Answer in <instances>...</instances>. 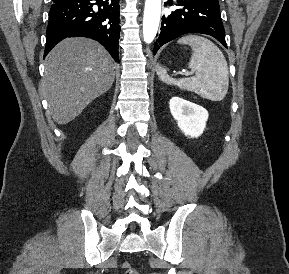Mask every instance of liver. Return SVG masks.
<instances>
[{
	"label": "liver",
	"mask_w": 289,
	"mask_h": 274,
	"mask_svg": "<svg viewBox=\"0 0 289 274\" xmlns=\"http://www.w3.org/2000/svg\"><path fill=\"white\" fill-rule=\"evenodd\" d=\"M116 64L96 41L66 38L48 54L41 92L53 120L64 125L74 120L94 99L107 92Z\"/></svg>",
	"instance_id": "liver-1"
}]
</instances>
